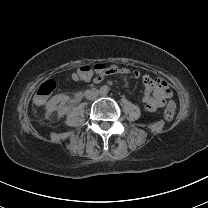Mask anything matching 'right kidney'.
I'll list each match as a JSON object with an SVG mask.
<instances>
[{"instance_id":"1","label":"right kidney","mask_w":208,"mask_h":208,"mask_svg":"<svg viewBox=\"0 0 208 208\" xmlns=\"http://www.w3.org/2000/svg\"><path fill=\"white\" fill-rule=\"evenodd\" d=\"M71 98L68 95L65 94H57L54 95L53 97H51L46 105V109L49 113H52L54 111H57V116L61 117L63 115H65L69 108H63L60 109L65 103L70 102ZM61 102V105L59 107H57V104Z\"/></svg>"}]
</instances>
